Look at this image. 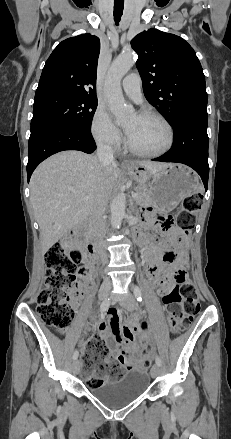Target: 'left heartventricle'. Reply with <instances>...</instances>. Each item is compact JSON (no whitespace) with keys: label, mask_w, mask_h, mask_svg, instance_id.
I'll return each instance as SVG.
<instances>
[{"label":"left heart ventricle","mask_w":231,"mask_h":439,"mask_svg":"<svg viewBox=\"0 0 231 439\" xmlns=\"http://www.w3.org/2000/svg\"><path fill=\"white\" fill-rule=\"evenodd\" d=\"M124 127L129 143L137 150L153 152L167 144V129L154 117L135 114L125 122Z\"/></svg>","instance_id":"1"}]
</instances>
